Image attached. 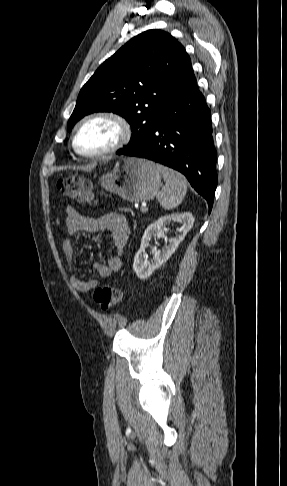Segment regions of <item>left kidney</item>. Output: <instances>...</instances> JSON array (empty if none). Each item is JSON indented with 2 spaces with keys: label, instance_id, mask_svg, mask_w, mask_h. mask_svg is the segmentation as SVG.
I'll use <instances>...</instances> for the list:
<instances>
[{
  "label": "left kidney",
  "instance_id": "5707ae66",
  "mask_svg": "<svg viewBox=\"0 0 287 486\" xmlns=\"http://www.w3.org/2000/svg\"><path fill=\"white\" fill-rule=\"evenodd\" d=\"M171 222L181 223L182 227L178 230V234L174 238L169 239V245L162 251L156 247L152 249L153 259L148 261L146 258L145 249L150 246L152 236L161 238L165 236L166 226ZM194 224V217L190 212L175 213L173 215H165L160 217L155 222L151 223L145 230L141 239V246L134 257L133 270L137 277L141 280L147 279L157 268L165 263L171 255L176 251L179 244L184 240L186 234L191 230Z\"/></svg>",
  "mask_w": 287,
  "mask_h": 486
}]
</instances>
